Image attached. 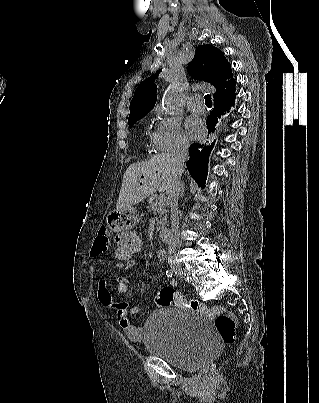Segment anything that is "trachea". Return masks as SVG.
<instances>
[{
  "label": "trachea",
  "instance_id": "3493384b",
  "mask_svg": "<svg viewBox=\"0 0 319 403\" xmlns=\"http://www.w3.org/2000/svg\"><path fill=\"white\" fill-rule=\"evenodd\" d=\"M205 103H206V105H212V100H211V95L210 94H207V95H205Z\"/></svg>",
  "mask_w": 319,
  "mask_h": 403
}]
</instances>
